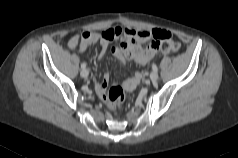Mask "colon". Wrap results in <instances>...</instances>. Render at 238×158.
Wrapping results in <instances>:
<instances>
[{"label":"colon","mask_w":238,"mask_h":158,"mask_svg":"<svg viewBox=\"0 0 238 158\" xmlns=\"http://www.w3.org/2000/svg\"><path fill=\"white\" fill-rule=\"evenodd\" d=\"M161 50L165 53H176L180 50V44L167 37L161 41ZM104 97L111 109H117L124 103L125 90L121 85L114 84L105 92Z\"/></svg>","instance_id":"5ec220e1"}]
</instances>
